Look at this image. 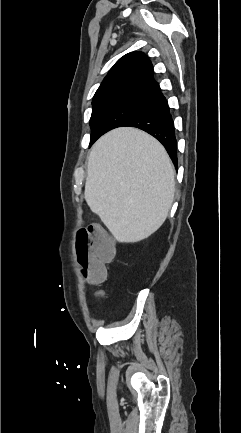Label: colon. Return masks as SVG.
Wrapping results in <instances>:
<instances>
[{
    "label": "colon",
    "mask_w": 241,
    "mask_h": 433,
    "mask_svg": "<svg viewBox=\"0 0 241 433\" xmlns=\"http://www.w3.org/2000/svg\"><path fill=\"white\" fill-rule=\"evenodd\" d=\"M114 245L109 235L101 228L81 229L77 234L76 256L79 263L75 264L76 272H86L93 282H101L106 277L105 263L111 260Z\"/></svg>",
    "instance_id": "5ec220e1"
}]
</instances>
